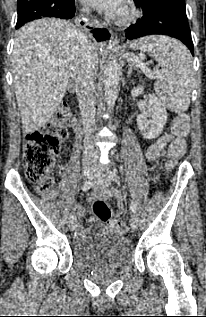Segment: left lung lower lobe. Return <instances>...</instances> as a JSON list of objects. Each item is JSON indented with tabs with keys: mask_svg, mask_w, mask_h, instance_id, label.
Returning a JSON list of instances; mask_svg holds the SVG:
<instances>
[{
	"mask_svg": "<svg viewBox=\"0 0 206 317\" xmlns=\"http://www.w3.org/2000/svg\"><path fill=\"white\" fill-rule=\"evenodd\" d=\"M127 40L151 34H162L182 41L194 55L186 12L173 8L143 10V17L126 30Z\"/></svg>",
	"mask_w": 206,
	"mask_h": 317,
	"instance_id": "1",
	"label": "left lung lower lobe"
}]
</instances>
